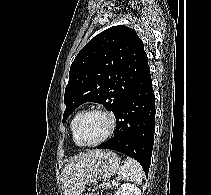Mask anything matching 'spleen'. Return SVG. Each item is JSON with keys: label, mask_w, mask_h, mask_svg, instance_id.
I'll list each match as a JSON object with an SVG mask.
<instances>
[{"label": "spleen", "mask_w": 211, "mask_h": 195, "mask_svg": "<svg viewBox=\"0 0 211 195\" xmlns=\"http://www.w3.org/2000/svg\"><path fill=\"white\" fill-rule=\"evenodd\" d=\"M119 176L126 181L141 183L143 178V169L134 159L127 157V160L119 170Z\"/></svg>", "instance_id": "spleen-1"}]
</instances>
